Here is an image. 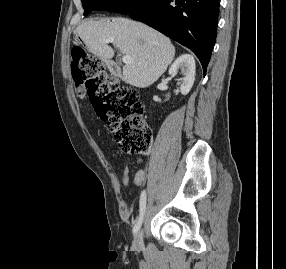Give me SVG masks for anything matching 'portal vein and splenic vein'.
I'll return each instance as SVG.
<instances>
[{"label":"portal vein and splenic vein","instance_id":"obj_1","mask_svg":"<svg viewBox=\"0 0 286 269\" xmlns=\"http://www.w3.org/2000/svg\"><path fill=\"white\" fill-rule=\"evenodd\" d=\"M104 42L105 43H113L114 39L113 38H109V39L104 40ZM122 61L125 64H129V63L133 62V57H131L129 55H123L122 56Z\"/></svg>","mask_w":286,"mask_h":269}]
</instances>
